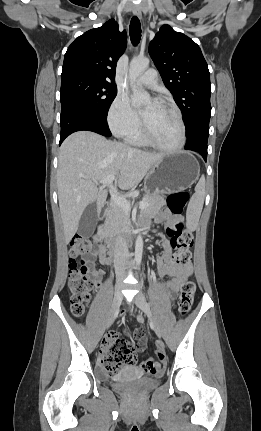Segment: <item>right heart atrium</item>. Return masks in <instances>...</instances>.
I'll use <instances>...</instances> for the list:
<instances>
[{
	"instance_id": "obj_1",
	"label": "right heart atrium",
	"mask_w": 261,
	"mask_h": 431,
	"mask_svg": "<svg viewBox=\"0 0 261 431\" xmlns=\"http://www.w3.org/2000/svg\"><path fill=\"white\" fill-rule=\"evenodd\" d=\"M107 119L111 131L117 136H130L140 128L139 118L123 93L117 94L112 101Z\"/></svg>"
}]
</instances>
